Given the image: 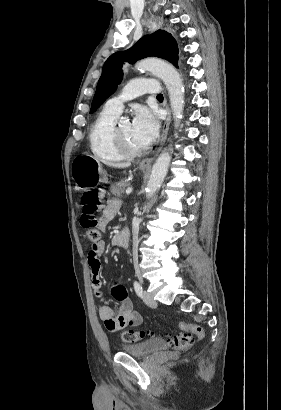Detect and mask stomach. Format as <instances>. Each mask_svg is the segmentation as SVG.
Listing matches in <instances>:
<instances>
[{
    "instance_id": "obj_1",
    "label": "stomach",
    "mask_w": 281,
    "mask_h": 410,
    "mask_svg": "<svg viewBox=\"0 0 281 410\" xmlns=\"http://www.w3.org/2000/svg\"><path fill=\"white\" fill-rule=\"evenodd\" d=\"M142 171L144 167L140 166ZM71 175L80 190L92 189L100 183H107V176L100 161L90 155L76 157L71 165Z\"/></svg>"
}]
</instances>
